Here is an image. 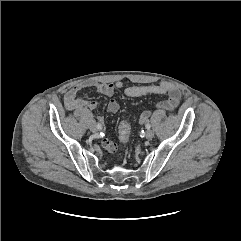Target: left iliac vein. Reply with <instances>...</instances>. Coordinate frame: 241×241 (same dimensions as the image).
Returning a JSON list of instances; mask_svg holds the SVG:
<instances>
[{
  "label": "left iliac vein",
  "mask_w": 241,
  "mask_h": 241,
  "mask_svg": "<svg viewBox=\"0 0 241 241\" xmlns=\"http://www.w3.org/2000/svg\"><path fill=\"white\" fill-rule=\"evenodd\" d=\"M154 137V132L152 130H147L145 133V138L151 140Z\"/></svg>",
  "instance_id": "left-iliac-vein-1"
}]
</instances>
